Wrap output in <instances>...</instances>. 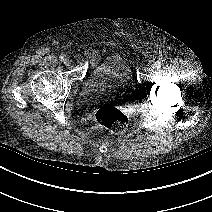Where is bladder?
I'll list each match as a JSON object with an SVG mask.
<instances>
[{
	"label": "bladder",
	"instance_id": "1",
	"mask_svg": "<svg viewBox=\"0 0 212 212\" xmlns=\"http://www.w3.org/2000/svg\"><path fill=\"white\" fill-rule=\"evenodd\" d=\"M134 78L129 62L120 56H111L97 64L87 75L77 95L84 107L103 101H125L134 93Z\"/></svg>",
	"mask_w": 212,
	"mask_h": 212
}]
</instances>
